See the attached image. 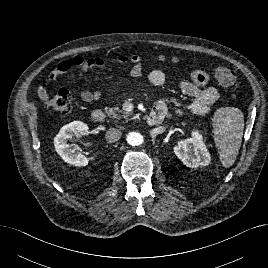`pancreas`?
<instances>
[{"label": "pancreas", "mask_w": 268, "mask_h": 268, "mask_svg": "<svg viewBox=\"0 0 268 268\" xmlns=\"http://www.w3.org/2000/svg\"><path fill=\"white\" fill-rule=\"evenodd\" d=\"M105 111L107 113L108 116L112 117V118H117V119H121L123 118H127L129 116V113L126 111H121L119 109V107H106Z\"/></svg>", "instance_id": "obj_1"}]
</instances>
